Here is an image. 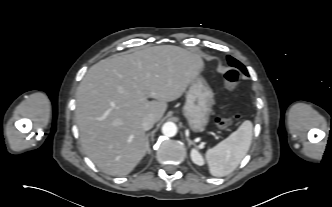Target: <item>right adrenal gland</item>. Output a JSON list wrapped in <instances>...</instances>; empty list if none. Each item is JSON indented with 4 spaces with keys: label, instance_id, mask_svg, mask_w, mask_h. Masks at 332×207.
<instances>
[{
    "label": "right adrenal gland",
    "instance_id": "obj_1",
    "mask_svg": "<svg viewBox=\"0 0 332 207\" xmlns=\"http://www.w3.org/2000/svg\"><path fill=\"white\" fill-rule=\"evenodd\" d=\"M146 140H147V154H150L149 134H146Z\"/></svg>",
    "mask_w": 332,
    "mask_h": 207
}]
</instances>
